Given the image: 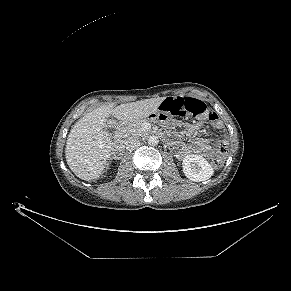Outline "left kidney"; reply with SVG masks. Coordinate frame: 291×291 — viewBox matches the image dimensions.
Listing matches in <instances>:
<instances>
[{"instance_id":"5707ae66","label":"left kidney","mask_w":291,"mask_h":291,"mask_svg":"<svg viewBox=\"0 0 291 291\" xmlns=\"http://www.w3.org/2000/svg\"><path fill=\"white\" fill-rule=\"evenodd\" d=\"M183 173L195 182L208 180L214 173L211 165L200 155H188L183 159Z\"/></svg>"}]
</instances>
